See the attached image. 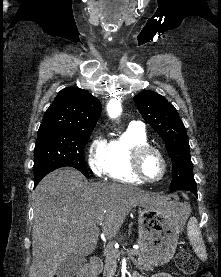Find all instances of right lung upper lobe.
<instances>
[{
	"label": "right lung upper lobe",
	"instance_id": "cb5924a9",
	"mask_svg": "<svg viewBox=\"0 0 221 277\" xmlns=\"http://www.w3.org/2000/svg\"><path fill=\"white\" fill-rule=\"evenodd\" d=\"M101 113L100 101L77 87L61 90L47 109L39 130H93Z\"/></svg>",
	"mask_w": 221,
	"mask_h": 277
}]
</instances>
